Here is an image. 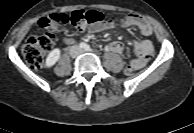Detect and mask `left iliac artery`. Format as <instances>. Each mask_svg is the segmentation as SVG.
Masks as SVG:
<instances>
[{"label":"left iliac artery","instance_id":"left-iliac-artery-1","mask_svg":"<svg viewBox=\"0 0 194 133\" xmlns=\"http://www.w3.org/2000/svg\"><path fill=\"white\" fill-rule=\"evenodd\" d=\"M86 51H90L91 50V48H90V46L89 45H87V47H86V49H85Z\"/></svg>","mask_w":194,"mask_h":133}]
</instances>
